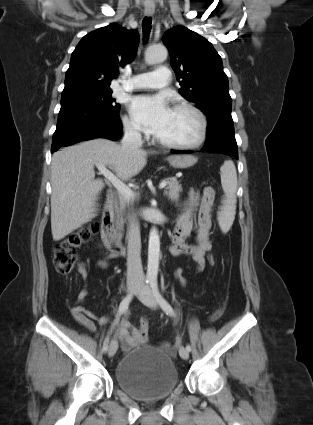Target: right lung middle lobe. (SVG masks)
Here are the masks:
<instances>
[{"label":"right lung middle lobe","mask_w":313,"mask_h":425,"mask_svg":"<svg viewBox=\"0 0 313 425\" xmlns=\"http://www.w3.org/2000/svg\"><path fill=\"white\" fill-rule=\"evenodd\" d=\"M67 99L84 101L112 111H119L120 109V105L115 103V99L112 98V90L110 88L82 89L62 93L61 101Z\"/></svg>","instance_id":"right-lung-middle-lobe-1"}]
</instances>
